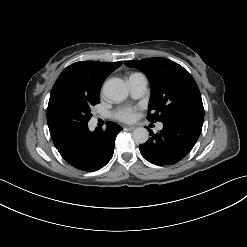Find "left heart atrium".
I'll return each mask as SVG.
<instances>
[{
  "instance_id": "1",
  "label": "left heart atrium",
  "mask_w": 247,
  "mask_h": 247,
  "mask_svg": "<svg viewBox=\"0 0 247 247\" xmlns=\"http://www.w3.org/2000/svg\"><path fill=\"white\" fill-rule=\"evenodd\" d=\"M135 109L130 106L121 107L116 111V117L122 121H131L134 119Z\"/></svg>"
}]
</instances>
